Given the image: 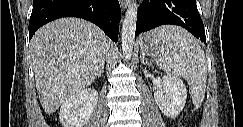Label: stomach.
I'll list each match as a JSON object with an SVG mask.
<instances>
[{"instance_id": "obj_1", "label": "stomach", "mask_w": 243, "mask_h": 127, "mask_svg": "<svg viewBox=\"0 0 243 127\" xmlns=\"http://www.w3.org/2000/svg\"><path fill=\"white\" fill-rule=\"evenodd\" d=\"M160 29L153 30L140 39L139 46L142 55L159 58L165 51L166 44L157 35Z\"/></svg>"}]
</instances>
